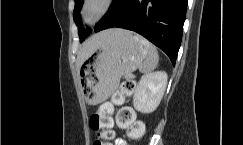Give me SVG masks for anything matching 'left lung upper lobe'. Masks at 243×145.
I'll return each instance as SVG.
<instances>
[{"mask_svg": "<svg viewBox=\"0 0 243 145\" xmlns=\"http://www.w3.org/2000/svg\"><path fill=\"white\" fill-rule=\"evenodd\" d=\"M74 1H75V8H74V12H73V18H74L76 25L78 26V34H79L80 42H82L87 37V35L90 33V31H87L86 29L81 27L82 22H81L79 13L82 8L83 0H74ZM122 1L123 0H113V3L111 5L109 11L114 12Z\"/></svg>", "mask_w": 243, "mask_h": 145, "instance_id": "left-lung-upper-lobe-1", "label": "left lung upper lobe"}]
</instances>
